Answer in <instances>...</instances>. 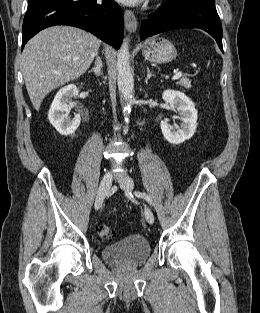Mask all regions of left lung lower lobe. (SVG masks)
Masks as SVG:
<instances>
[{
	"label": "left lung lower lobe",
	"instance_id": "0a47b994",
	"mask_svg": "<svg viewBox=\"0 0 260 313\" xmlns=\"http://www.w3.org/2000/svg\"><path fill=\"white\" fill-rule=\"evenodd\" d=\"M179 28H200L212 35L223 51L222 25L215 5L184 0H166L150 14L141 28V39Z\"/></svg>",
	"mask_w": 260,
	"mask_h": 313
}]
</instances>
